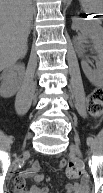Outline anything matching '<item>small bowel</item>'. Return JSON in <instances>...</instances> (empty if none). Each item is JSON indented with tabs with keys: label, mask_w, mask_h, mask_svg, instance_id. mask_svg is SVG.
<instances>
[{
	"label": "small bowel",
	"mask_w": 103,
	"mask_h": 193,
	"mask_svg": "<svg viewBox=\"0 0 103 193\" xmlns=\"http://www.w3.org/2000/svg\"><path fill=\"white\" fill-rule=\"evenodd\" d=\"M41 166L39 162H33L29 168L24 170L19 176L13 180L14 193H50L48 187H39L36 183L41 182L44 177L39 174ZM26 180H34L36 183H32L28 191L25 190ZM88 181L83 179L81 182L68 183L65 186L64 193H87Z\"/></svg>",
	"instance_id": "obj_1"
}]
</instances>
